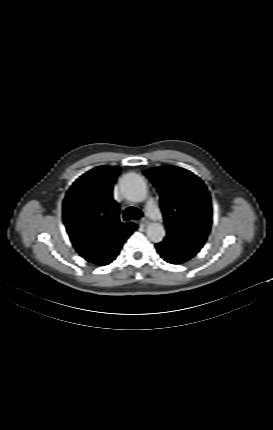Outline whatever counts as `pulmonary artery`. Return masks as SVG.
Instances as JSON below:
<instances>
[{
  "label": "pulmonary artery",
  "mask_w": 273,
  "mask_h": 430,
  "mask_svg": "<svg viewBox=\"0 0 273 430\" xmlns=\"http://www.w3.org/2000/svg\"><path fill=\"white\" fill-rule=\"evenodd\" d=\"M147 208H148V211H149L151 214H154V215H157V214H158V211L155 209V205H154V201H153V200H150V201L148 202V204H147Z\"/></svg>",
  "instance_id": "e3ab8cb5"
}]
</instances>
